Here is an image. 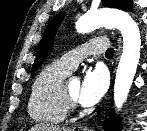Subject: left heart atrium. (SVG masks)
<instances>
[{"label": "left heart atrium", "instance_id": "left-heart-atrium-1", "mask_svg": "<svg viewBox=\"0 0 147 131\" xmlns=\"http://www.w3.org/2000/svg\"><path fill=\"white\" fill-rule=\"evenodd\" d=\"M108 87V77L101 68L86 71L78 93V101L81 105L90 107L97 104Z\"/></svg>", "mask_w": 147, "mask_h": 131}]
</instances>
